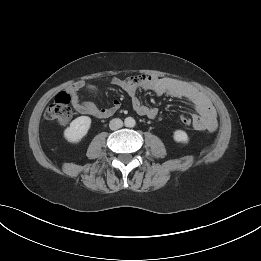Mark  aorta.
Returning a JSON list of instances; mask_svg holds the SVG:
<instances>
[{
  "instance_id": "obj_1",
  "label": "aorta",
  "mask_w": 261,
  "mask_h": 261,
  "mask_svg": "<svg viewBox=\"0 0 261 261\" xmlns=\"http://www.w3.org/2000/svg\"><path fill=\"white\" fill-rule=\"evenodd\" d=\"M125 126L126 127H133L135 125V120L132 117L125 118Z\"/></svg>"
}]
</instances>
